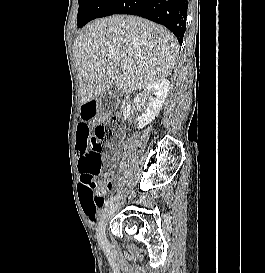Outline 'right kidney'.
<instances>
[{
  "mask_svg": "<svg viewBox=\"0 0 265 273\" xmlns=\"http://www.w3.org/2000/svg\"><path fill=\"white\" fill-rule=\"evenodd\" d=\"M170 89V82L166 78H161L153 83L147 85L143 93H139L134 98V103L139 104L143 97H150L149 103L145 112L142 114L138 128H144L150 122H152L159 111L161 110L163 103L168 95ZM151 93L153 96H151ZM131 105H128L127 108L123 111L124 118H128L130 115Z\"/></svg>",
  "mask_w": 265,
  "mask_h": 273,
  "instance_id": "1",
  "label": "right kidney"
}]
</instances>
